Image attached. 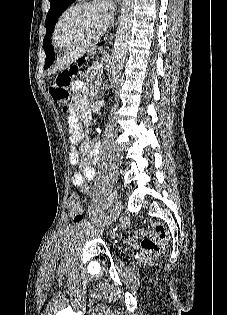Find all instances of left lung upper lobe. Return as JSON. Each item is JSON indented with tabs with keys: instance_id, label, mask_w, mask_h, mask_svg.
Here are the masks:
<instances>
[{
	"instance_id": "obj_1",
	"label": "left lung upper lobe",
	"mask_w": 227,
	"mask_h": 315,
	"mask_svg": "<svg viewBox=\"0 0 227 315\" xmlns=\"http://www.w3.org/2000/svg\"><path fill=\"white\" fill-rule=\"evenodd\" d=\"M50 1V10L47 14L45 26H46V35L43 40V48L45 52H48V49L51 46L50 38L54 30L55 24L59 16L71 5L75 0H49ZM53 49V48H52ZM47 61V56L45 63Z\"/></svg>"
}]
</instances>
